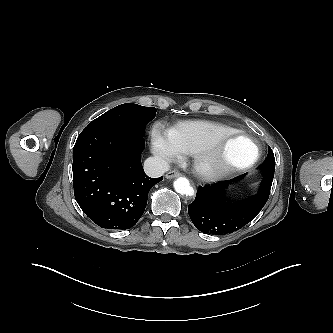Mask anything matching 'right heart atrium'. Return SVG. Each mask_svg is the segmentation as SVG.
<instances>
[{
  "label": "right heart atrium",
  "instance_id": "obj_1",
  "mask_svg": "<svg viewBox=\"0 0 333 333\" xmlns=\"http://www.w3.org/2000/svg\"><path fill=\"white\" fill-rule=\"evenodd\" d=\"M152 151L163 164L174 162L182 155L170 131L160 125H156L152 131Z\"/></svg>",
  "mask_w": 333,
  "mask_h": 333
}]
</instances>
